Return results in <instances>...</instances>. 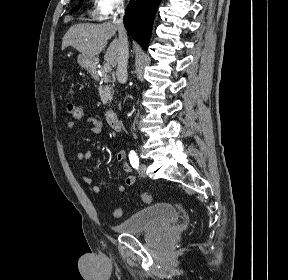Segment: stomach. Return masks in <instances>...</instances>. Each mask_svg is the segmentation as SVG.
<instances>
[{
  "mask_svg": "<svg viewBox=\"0 0 288 280\" xmlns=\"http://www.w3.org/2000/svg\"><path fill=\"white\" fill-rule=\"evenodd\" d=\"M78 63L79 65L82 67V68H85V69H88V70H91L93 69L96 64H97V58L95 57H90L88 55H85V54H80L78 56Z\"/></svg>",
  "mask_w": 288,
  "mask_h": 280,
  "instance_id": "stomach-1",
  "label": "stomach"
}]
</instances>
